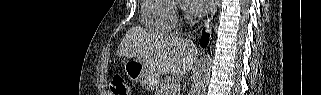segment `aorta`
<instances>
[{"label": "aorta", "instance_id": "1", "mask_svg": "<svg viewBox=\"0 0 321 95\" xmlns=\"http://www.w3.org/2000/svg\"><path fill=\"white\" fill-rule=\"evenodd\" d=\"M211 61L212 59L209 54H206L204 58H202V63L195 74L194 83L191 89V95L205 94L210 79Z\"/></svg>", "mask_w": 321, "mask_h": 95}]
</instances>
